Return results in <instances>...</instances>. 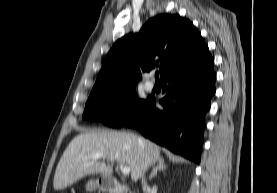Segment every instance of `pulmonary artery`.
Here are the masks:
<instances>
[{
  "mask_svg": "<svg viewBox=\"0 0 277 193\" xmlns=\"http://www.w3.org/2000/svg\"><path fill=\"white\" fill-rule=\"evenodd\" d=\"M145 89L148 91H151L154 89V82L150 79L147 80V82L145 83Z\"/></svg>",
  "mask_w": 277,
  "mask_h": 193,
  "instance_id": "1",
  "label": "pulmonary artery"
}]
</instances>
